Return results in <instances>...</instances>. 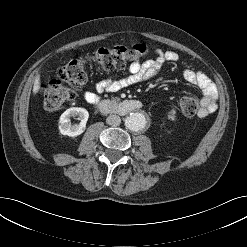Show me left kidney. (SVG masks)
I'll list each match as a JSON object with an SVG mask.
<instances>
[{"mask_svg": "<svg viewBox=\"0 0 247 247\" xmlns=\"http://www.w3.org/2000/svg\"><path fill=\"white\" fill-rule=\"evenodd\" d=\"M175 110H171L170 111V114L168 115V118L171 119V120H174L175 119Z\"/></svg>", "mask_w": 247, "mask_h": 247, "instance_id": "5707ae66", "label": "left kidney"}]
</instances>
